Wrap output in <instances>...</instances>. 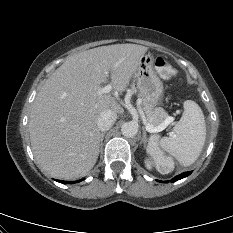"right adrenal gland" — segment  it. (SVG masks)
Returning <instances> with one entry per match:
<instances>
[{
    "instance_id": "2a0ac1e0",
    "label": "right adrenal gland",
    "mask_w": 233,
    "mask_h": 233,
    "mask_svg": "<svg viewBox=\"0 0 233 233\" xmlns=\"http://www.w3.org/2000/svg\"><path fill=\"white\" fill-rule=\"evenodd\" d=\"M104 135H105V132H103V133L101 134V144H102V142H103Z\"/></svg>"
}]
</instances>
